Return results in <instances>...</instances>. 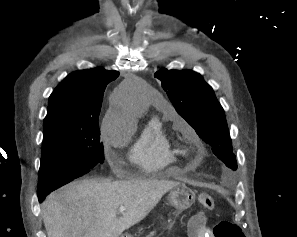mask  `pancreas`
Returning a JSON list of instances; mask_svg holds the SVG:
<instances>
[{
	"label": "pancreas",
	"mask_w": 297,
	"mask_h": 237,
	"mask_svg": "<svg viewBox=\"0 0 297 237\" xmlns=\"http://www.w3.org/2000/svg\"><path fill=\"white\" fill-rule=\"evenodd\" d=\"M155 234V231L151 232L148 236L146 237H152Z\"/></svg>",
	"instance_id": "cf45deb5"
}]
</instances>
